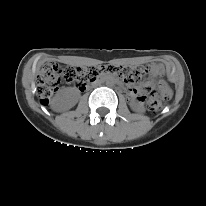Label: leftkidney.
<instances>
[{
    "instance_id": "left-kidney-1",
    "label": "left kidney",
    "mask_w": 206,
    "mask_h": 206,
    "mask_svg": "<svg viewBox=\"0 0 206 206\" xmlns=\"http://www.w3.org/2000/svg\"><path fill=\"white\" fill-rule=\"evenodd\" d=\"M132 108L135 111H141L142 110V106L140 104H133Z\"/></svg>"
}]
</instances>
